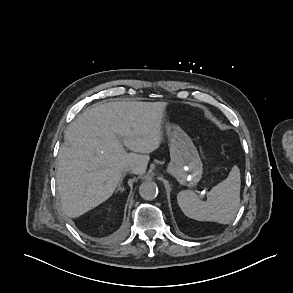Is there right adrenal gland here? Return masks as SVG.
I'll return each instance as SVG.
<instances>
[{"instance_id":"1","label":"right adrenal gland","mask_w":293,"mask_h":293,"mask_svg":"<svg viewBox=\"0 0 293 293\" xmlns=\"http://www.w3.org/2000/svg\"><path fill=\"white\" fill-rule=\"evenodd\" d=\"M123 178H124V175L121 177V179H120V182H119V184H118V187H117V189H116V193L118 192V191H120V192H123L124 191V188L123 187H121V184H122V182H123Z\"/></svg>"}]
</instances>
